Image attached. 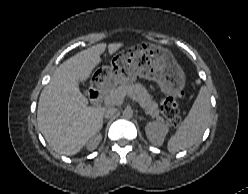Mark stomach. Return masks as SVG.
Wrapping results in <instances>:
<instances>
[{
	"label": "stomach",
	"instance_id": "1",
	"mask_svg": "<svg viewBox=\"0 0 248 194\" xmlns=\"http://www.w3.org/2000/svg\"><path fill=\"white\" fill-rule=\"evenodd\" d=\"M137 76L155 81L165 94L176 93L185 84L184 72L169 50L142 43L112 58L103 85L130 84Z\"/></svg>",
	"mask_w": 248,
	"mask_h": 194
}]
</instances>
